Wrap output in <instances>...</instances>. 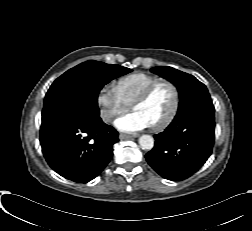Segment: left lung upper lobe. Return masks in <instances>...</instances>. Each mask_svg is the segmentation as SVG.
<instances>
[{
    "mask_svg": "<svg viewBox=\"0 0 252 231\" xmlns=\"http://www.w3.org/2000/svg\"><path fill=\"white\" fill-rule=\"evenodd\" d=\"M151 71L171 80L177 87L180 96L178 110L192 103L212 102L206 86L194 76L167 66L154 67Z\"/></svg>",
    "mask_w": 252,
    "mask_h": 231,
    "instance_id": "left-lung-upper-lobe-1",
    "label": "left lung upper lobe"
}]
</instances>
